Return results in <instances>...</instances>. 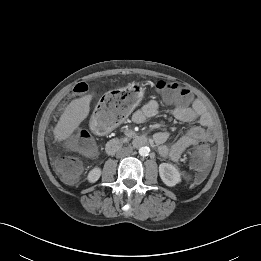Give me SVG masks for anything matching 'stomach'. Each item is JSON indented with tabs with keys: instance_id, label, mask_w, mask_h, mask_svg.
Wrapping results in <instances>:
<instances>
[{
	"instance_id": "0dacf381",
	"label": "stomach",
	"mask_w": 261,
	"mask_h": 261,
	"mask_svg": "<svg viewBox=\"0 0 261 261\" xmlns=\"http://www.w3.org/2000/svg\"><path fill=\"white\" fill-rule=\"evenodd\" d=\"M122 94L126 95L125 99L128 102V112L130 113L141 102L144 96V88L141 84L133 82L125 87ZM117 126L116 123H108L103 121L98 113L92 115L90 127L93 133L97 135H105Z\"/></svg>"
}]
</instances>
